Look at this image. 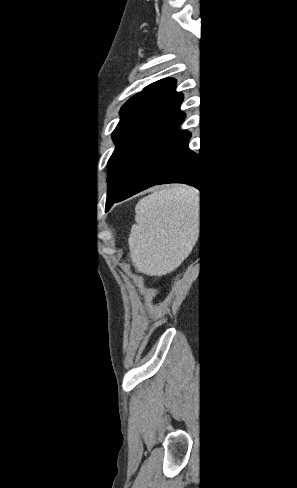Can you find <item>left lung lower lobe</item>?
I'll return each instance as SVG.
<instances>
[{"mask_svg": "<svg viewBox=\"0 0 297 488\" xmlns=\"http://www.w3.org/2000/svg\"><path fill=\"white\" fill-rule=\"evenodd\" d=\"M190 136L189 132L181 131L163 146L138 171L122 193L107 204L105 211L115 202L158 184L186 183L202 192V166L200 168L199 156L188 148Z\"/></svg>", "mask_w": 297, "mask_h": 488, "instance_id": "0a47b994", "label": "left lung lower lobe"}]
</instances>
